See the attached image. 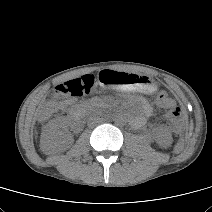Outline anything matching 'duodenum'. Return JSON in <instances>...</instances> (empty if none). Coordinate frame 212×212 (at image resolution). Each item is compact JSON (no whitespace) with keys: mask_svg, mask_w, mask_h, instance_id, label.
Masks as SVG:
<instances>
[{"mask_svg":"<svg viewBox=\"0 0 212 212\" xmlns=\"http://www.w3.org/2000/svg\"><path fill=\"white\" fill-rule=\"evenodd\" d=\"M85 114V108L82 106H74L71 109L70 115L74 120H80L84 117ZM141 123L140 119H135L133 121L134 125H139Z\"/></svg>","mask_w":212,"mask_h":212,"instance_id":"duodenum-1","label":"duodenum"}]
</instances>
